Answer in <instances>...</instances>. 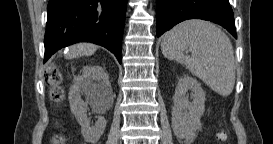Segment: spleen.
Wrapping results in <instances>:
<instances>
[{
	"mask_svg": "<svg viewBox=\"0 0 273 144\" xmlns=\"http://www.w3.org/2000/svg\"><path fill=\"white\" fill-rule=\"evenodd\" d=\"M187 49L190 56L183 54ZM161 50L166 58L185 65L219 95L232 93L235 84L233 47L216 25L198 19L184 21L164 34Z\"/></svg>",
	"mask_w": 273,
	"mask_h": 144,
	"instance_id": "1",
	"label": "spleen"
}]
</instances>
